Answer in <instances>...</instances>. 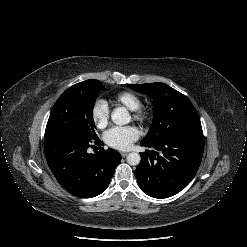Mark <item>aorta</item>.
I'll list each match as a JSON object with an SVG mask.
<instances>
[{"instance_id": "obj_1", "label": "aorta", "mask_w": 247, "mask_h": 247, "mask_svg": "<svg viewBox=\"0 0 247 247\" xmlns=\"http://www.w3.org/2000/svg\"><path fill=\"white\" fill-rule=\"evenodd\" d=\"M111 119L117 125H126L130 122L131 116L125 107H119L111 113ZM126 160L129 165L135 166L140 163L141 157L138 153L132 152L127 155Z\"/></svg>"}]
</instances>
